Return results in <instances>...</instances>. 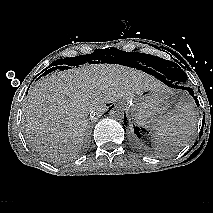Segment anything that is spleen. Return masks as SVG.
Segmentation results:
<instances>
[{"mask_svg":"<svg viewBox=\"0 0 213 213\" xmlns=\"http://www.w3.org/2000/svg\"><path fill=\"white\" fill-rule=\"evenodd\" d=\"M196 123L193 101L179 105L159 120L154 132L153 142L162 150H178L186 144L187 137L194 131Z\"/></svg>","mask_w":213,"mask_h":213,"instance_id":"3e777b00","label":"spleen"}]
</instances>
